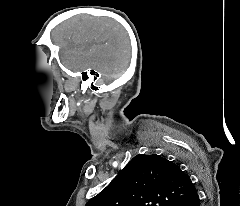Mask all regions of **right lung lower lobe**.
Returning a JSON list of instances; mask_svg holds the SVG:
<instances>
[{
  "instance_id": "obj_1",
  "label": "right lung lower lobe",
  "mask_w": 240,
  "mask_h": 206,
  "mask_svg": "<svg viewBox=\"0 0 240 206\" xmlns=\"http://www.w3.org/2000/svg\"><path fill=\"white\" fill-rule=\"evenodd\" d=\"M173 206H200L198 193L196 192L192 196L175 203Z\"/></svg>"
}]
</instances>
